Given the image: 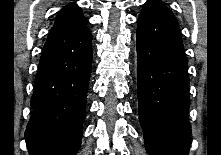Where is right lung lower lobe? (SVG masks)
I'll list each match as a JSON object with an SVG mask.
<instances>
[{
	"mask_svg": "<svg viewBox=\"0 0 221 155\" xmlns=\"http://www.w3.org/2000/svg\"><path fill=\"white\" fill-rule=\"evenodd\" d=\"M86 24L51 31L44 45L25 132L30 155H76L80 148L92 62Z\"/></svg>",
	"mask_w": 221,
	"mask_h": 155,
	"instance_id": "obj_1",
	"label": "right lung lower lobe"
}]
</instances>
